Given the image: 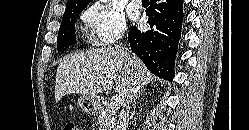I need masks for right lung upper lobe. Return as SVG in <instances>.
I'll return each instance as SVG.
<instances>
[{"mask_svg":"<svg viewBox=\"0 0 249 130\" xmlns=\"http://www.w3.org/2000/svg\"><path fill=\"white\" fill-rule=\"evenodd\" d=\"M90 0H68L66 6L86 7Z\"/></svg>","mask_w":249,"mask_h":130,"instance_id":"right-lung-upper-lobe-1","label":"right lung upper lobe"}]
</instances>
